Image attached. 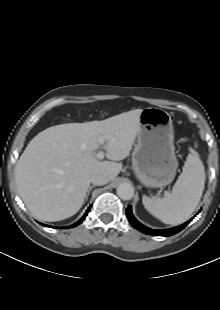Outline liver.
<instances>
[{
	"mask_svg": "<svg viewBox=\"0 0 220 310\" xmlns=\"http://www.w3.org/2000/svg\"><path fill=\"white\" fill-rule=\"evenodd\" d=\"M142 109L101 121L49 127L27 145L15 169L18 192L32 215L43 221H60L75 215L84 203L91 177L107 175L112 181L129 156L140 128ZM105 140L106 157L95 151Z\"/></svg>",
	"mask_w": 220,
	"mask_h": 310,
	"instance_id": "1",
	"label": "liver"
}]
</instances>
